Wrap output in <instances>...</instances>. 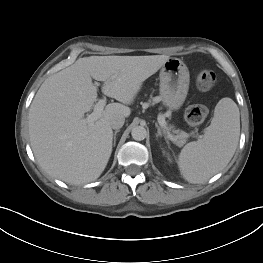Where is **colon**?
<instances>
[{
    "mask_svg": "<svg viewBox=\"0 0 263 263\" xmlns=\"http://www.w3.org/2000/svg\"><path fill=\"white\" fill-rule=\"evenodd\" d=\"M215 72L209 69H201L195 75L196 86L203 91L209 90L216 83ZM208 114L205 106L200 104L190 105L185 112V120L190 126H198L204 122Z\"/></svg>",
    "mask_w": 263,
    "mask_h": 263,
    "instance_id": "5ec220e1",
    "label": "colon"
}]
</instances>
